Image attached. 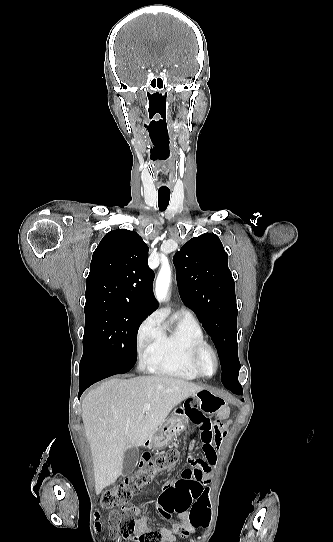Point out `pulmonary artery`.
<instances>
[{
    "label": "pulmonary artery",
    "instance_id": "obj_1",
    "mask_svg": "<svg viewBox=\"0 0 333 542\" xmlns=\"http://www.w3.org/2000/svg\"><path fill=\"white\" fill-rule=\"evenodd\" d=\"M179 312L187 317L194 318V313L188 308H182L179 310Z\"/></svg>",
    "mask_w": 333,
    "mask_h": 542
}]
</instances>
